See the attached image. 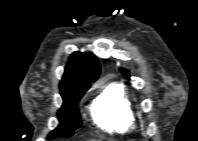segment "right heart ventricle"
Here are the masks:
<instances>
[{"label": "right heart ventricle", "instance_id": "1", "mask_svg": "<svg viewBox=\"0 0 198 141\" xmlns=\"http://www.w3.org/2000/svg\"><path fill=\"white\" fill-rule=\"evenodd\" d=\"M90 113L94 123L110 133L130 134L137 129V117L124 87L106 86L92 101Z\"/></svg>", "mask_w": 198, "mask_h": 141}]
</instances>
